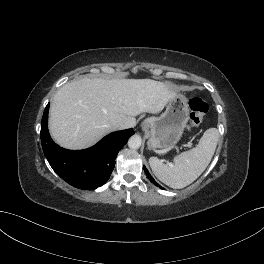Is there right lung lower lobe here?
Returning <instances> with one entry per match:
<instances>
[{
  "label": "right lung lower lobe",
  "mask_w": 264,
  "mask_h": 264,
  "mask_svg": "<svg viewBox=\"0 0 264 264\" xmlns=\"http://www.w3.org/2000/svg\"><path fill=\"white\" fill-rule=\"evenodd\" d=\"M49 103L41 121V143L52 169L70 185L92 190L105 184L114 169L117 153L134 134L132 129L116 131L95 146L80 151L66 150L56 145L48 132Z\"/></svg>",
  "instance_id": "right-lung-lower-lobe-1"
}]
</instances>
